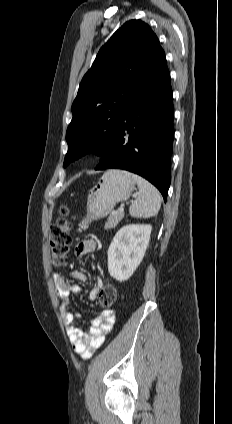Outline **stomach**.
<instances>
[{
	"label": "stomach",
	"mask_w": 232,
	"mask_h": 424,
	"mask_svg": "<svg viewBox=\"0 0 232 424\" xmlns=\"http://www.w3.org/2000/svg\"><path fill=\"white\" fill-rule=\"evenodd\" d=\"M134 187L135 181L128 171L108 170L105 172L88 195L87 215L80 226L85 228L93 220L106 217L117 203L129 199Z\"/></svg>",
	"instance_id": "stomach-1"
}]
</instances>
